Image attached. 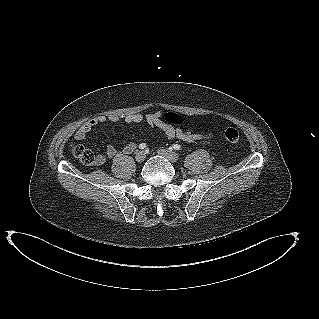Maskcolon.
<instances>
[{
    "label": "colon",
    "instance_id": "colon-1",
    "mask_svg": "<svg viewBox=\"0 0 319 319\" xmlns=\"http://www.w3.org/2000/svg\"><path fill=\"white\" fill-rule=\"evenodd\" d=\"M164 122L178 126L182 123V117L179 114L169 112L163 116ZM225 139L230 143H237L240 140V133L233 127H228L224 131ZM71 153L84 165H92L95 163L96 158L93 152L79 144H73L70 148Z\"/></svg>",
    "mask_w": 319,
    "mask_h": 319
}]
</instances>
